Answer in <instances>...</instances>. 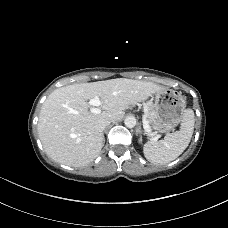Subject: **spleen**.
<instances>
[{
	"mask_svg": "<svg viewBox=\"0 0 228 228\" xmlns=\"http://www.w3.org/2000/svg\"><path fill=\"white\" fill-rule=\"evenodd\" d=\"M194 123L193 110L186 109L179 131L168 134L159 141H148L144 145L143 152L146 159L157 165L175 160L187 148L193 134Z\"/></svg>",
	"mask_w": 228,
	"mask_h": 228,
	"instance_id": "spleen-1",
	"label": "spleen"
}]
</instances>
